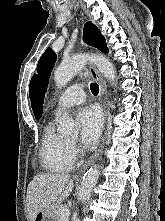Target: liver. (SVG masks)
I'll return each mask as SVG.
<instances>
[{
    "instance_id": "liver-1",
    "label": "liver",
    "mask_w": 165,
    "mask_h": 221,
    "mask_svg": "<svg viewBox=\"0 0 165 221\" xmlns=\"http://www.w3.org/2000/svg\"><path fill=\"white\" fill-rule=\"evenodd\" d=\"M74 187L68 174H38L29 183L26 194L27 211L30 221L48 205H57L68 198Z\"/></svg>"
}]
</instances>
